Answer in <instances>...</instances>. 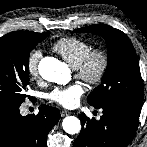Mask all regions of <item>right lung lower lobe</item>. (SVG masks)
Wrapping results in <instances>:
<instances>
[{"label":"right lung lower lobe","mask_w":147,"mask_h":147,"mask_svg":"<svg viewBox=\"0 0 147 147\" xmlns=\"http://www.w3.org/2000/svg\"><path fill=\"white\" fill-rule=\"evenodd\" d=\"M19 107L0 105V147H46L47 134L59 121V110L42 105L37 115L22 116Z\"/></svg>","instance_id":"obj_1"}]
</instances>
